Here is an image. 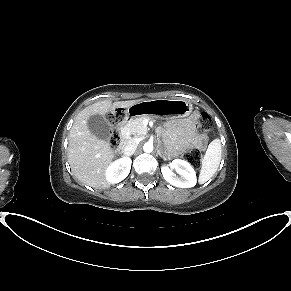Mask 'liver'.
I'll use <instances>...</instances> for the list:
<instances>
[{
  "instance_id": "liver-1",
  "label": "liver",
  "mask_w": 291,
  "mask_h": 291,
  "mask_svg": "<svg viewBox=\"0 0 291 291\" xmlns=\"http://www.w3.org/2000/svg\"><path fill=\"white\" fill-rule=\"evenodd\" d=\"M143 100V99H142ZM142 100H104L82 110L76 117L69 133L68 162L73 175L82 183L97 189H107L110 183L105 178V169L114 159L109 142L98 139L87 126L91 115H105L117 108H128Z\"/></svg>"
}]
</instances>
